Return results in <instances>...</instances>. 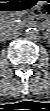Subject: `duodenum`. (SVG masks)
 <instances>
[{
    "instance_id": "410a0bca",
    "label": "duodenum",
    "mask_w": 50,
    "mask_h": 111,
    "mask_svg": "<svg viewBox=\"0 0 50 111\" xmlns=\"http://www.w3.org/2000/svg\"><path fill=\"white\" fill-rule=\"evenodd\" d=\"M38 21V23L42 26V27H44V28H46L47 27V23L46 22H44V21H40V20H37Z\"/></svg>"
}]
</instances>
